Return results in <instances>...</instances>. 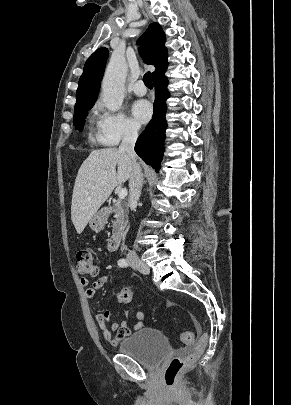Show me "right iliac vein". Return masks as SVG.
Segmentation results:
<instances>
[{
	"label": "right iliac vein",
	"mask_w": 291,
	"mask_h": 405,
	"mask_svg": "<svg viewBox=\"0 0 291 405\" xmlns=\"http://www.w3.org/2000/svg\"><path fill=\"white\" fill-rule=\"evenodd\" d=\"M132 265L134 266V268L138 269L139 271H141L144 274H149L150 272V268L144 264L141 260H134L132 262Z\"/></svg>",
	"instance_id": "right-iliac-vein-1"
}]
</instances>
